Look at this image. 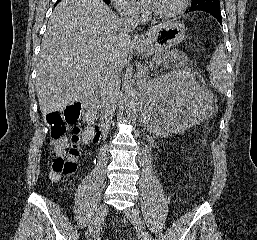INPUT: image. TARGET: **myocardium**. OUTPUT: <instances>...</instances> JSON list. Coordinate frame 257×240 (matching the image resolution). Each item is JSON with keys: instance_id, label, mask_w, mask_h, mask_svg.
I'll return each mask as SVG.
<instances>
[{"instance_id": "obj_1", "label": "myocardium", "mask_w": 257, "mask_h": 240, "mask_svg": "<svg viewBox=\"0 0 257 240\" xmlns=\"http://www.w3.org/2000/svg\"><path fill=\"white\" fill-rule=\"evenodd\" d=\"M187 2L188 0H178L176 6L173 9L162 13L152 11L151 15L153 18L159 20L171 19L184 11L187 6Z\"/></svg>"}]
</instances>
